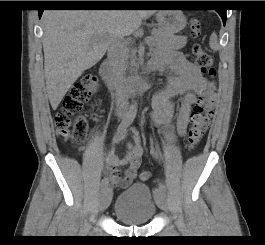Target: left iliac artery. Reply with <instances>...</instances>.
<instances>
[{"label":"left iliac artery","instance_id":"1","mask_svg":"<svg viewBox=\"0 0 265 245\" xmlns=\"http://www.w3.org/2000/svg\"><path fill=\"white\" fill-rule=\"evenodd\" d=\"M151 154L154 155V154H155L154 151H151ZM161 191H162V192H165V191H166V186H165V184L162 183V182H160L158 188H156V189L154 190V194L157 195V194H158L159 192H161Z\"/></svg>","mask_w":265,"mask_h":245}]
</instances>
